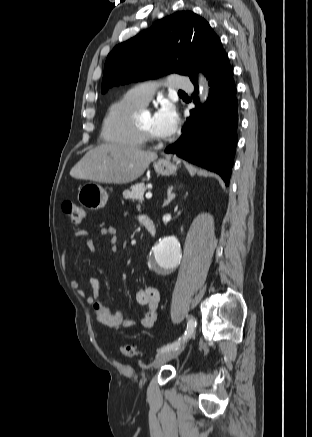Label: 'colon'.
Masks as SVG:
<instances>
[{"mask_svg":"<svg viewBox=\"0 0 312 437\" xmlns=\"http://www.w3.org/2000/svg\"><path fill=\"white\" fill-rule=\"evenodd\" d=\"M63 210L72 225H79L85 216V210L83 207L73 201H65L63 203ZM121 351L122 354L127 357H133L136 355L135 347L130 344L123 345Z\"/></svg>","mask_w":312,"mask_h":437,"instance_id":"1","label":"colon"}]
</instances>
